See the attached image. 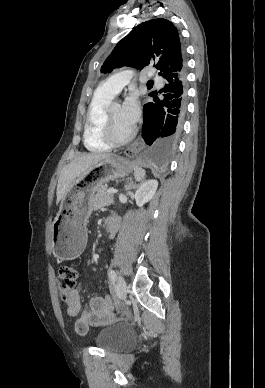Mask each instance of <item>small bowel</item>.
<instances>
[{
  "mask_svg": "<svg viewBox=\"0 0 265 388\" xmlns=\"http://www.w3.org/2000/svg\"><path fill=\"white\" fill-rule=\"evenodd\" d=\"M113 218L119 223L116 217ZM66 312L69 316L77 318L74 324L76 332L84 334L90 327H99L110 321L113 316V306H107L104 298L93 296L89 305L82 308L79 290L73 289L66 300Z\"/></svg>",
  "mask_w": 265,
  "mask_h": 388,
  "instance_id": "small-bowel-1",
  "label": "small bowel"
}]
</instances>
